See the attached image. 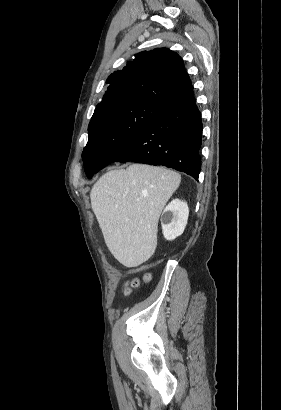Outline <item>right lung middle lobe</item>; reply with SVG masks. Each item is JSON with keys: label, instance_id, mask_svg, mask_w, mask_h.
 Instances as JSON below:
<instances>
[{"label": "right lung middle lobe", "instance_id": "obj_1", "mask_svg": "<svg viewBox=\"0 0 281 410\" xmlns=\"http://www.w3.org/2000/svg\"><path fill=\"white\" fill-rule=\"evenodd\" d=\"M162 108L134 103L115 105L93 114L89 127V140L82 159L87 177L119 157L139 136Z\"/></svg>", "mask_w": 281, "mask_h": 410}]
</instances>
